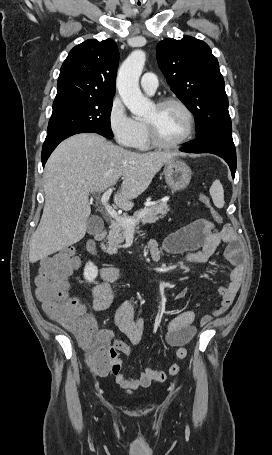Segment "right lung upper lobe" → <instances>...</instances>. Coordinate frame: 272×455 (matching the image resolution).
<instances>
[{"mask_svg": "<svg viewBox=\"0 0 272 455\" xmlns=\"http://www.w3.org/2000/svg\"><path fill=\"white\" fill-rule=\"evenodd\" d=\"M118 61L112 39H89L75 46L61 67L54 101L113 97Z\"/></svg>", "mask_w": 272, "mask_h": 455, "instance_id": "1", "label": "right lung upper lobe"}]
</instances>
